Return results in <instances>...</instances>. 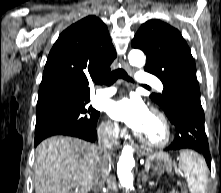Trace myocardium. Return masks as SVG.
Masks as SVG:
<instances>
[{
	"mask_svg": "<svg viewBox=\"0 0 221 193\" xmlns=\"http://www.w3.org/2000/svg\"><path fill=\"white\" fill-rule=\"evenodd\" d=\"M150 112L152 114H154L155 116H157L159 118L160 122L162 123L163 128H164V138L159 142H153L150 139H148L146 136L141 134L140 132H137V135L140 138V140L149 147L164 148L165 146L168 145V143L171 140V135L172 134H171L170 123H169L167 117L164 115V113H162L159 109L151 108Z\"/></svg>",
	"mask_w": 221,
	"mask_h": 193,
	"instance_id": "1",
	"label": "myocardium"
}]
</instances>
